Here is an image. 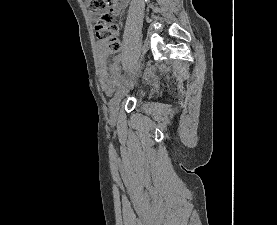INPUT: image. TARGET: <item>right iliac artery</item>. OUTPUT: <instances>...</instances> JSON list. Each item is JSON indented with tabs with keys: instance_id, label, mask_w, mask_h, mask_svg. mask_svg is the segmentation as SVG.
<instances>
[{
	"instance_id": "1",
	"label": "right iliac artery",
	"mask_w": 277,
	"mask_h": 225,
	"mask_svg": "<svg viewBox=\"0 0 277 225\" xmlns=\"http://www.w3.org/2000/svg\"><path fill=\"white\" fill-rule=\"evenodd\" d=\"M134 74H135L134 70H131V72L129 73V75H128L127 77H125V78L121 81L119 87H120V88L125 87V86L133 79Z\"/></svg>"
}]
</instances>
